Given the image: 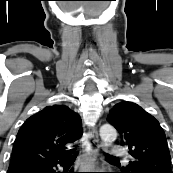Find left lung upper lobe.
Segmentation results:
<instances>
[{
    "mask_svg": "<svg viewBox=\"0 0 173 173\" xmlns=\"http://www.w3.org/2000/svg\"><path fill=\"white\" fill-rule=\"evenodd\" d=\"M107 120L132 156L121 173H173L166 135L152 115L133 102L123 101L113 107Z\"/></svg>",
    "mask_w": 173,
    "mask_h": 173,
    "instance_id": "1",
    "label": "left lung upper lobe"
}]
</instances>
